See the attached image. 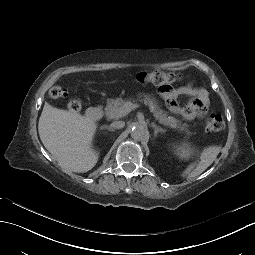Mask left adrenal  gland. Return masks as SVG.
<instances>
[{"label": "left adrenal gland", "instance_id": "a2214340", "mask_svg": "<svg viewBox=\"0 0 255 255\" xmlns=\"http://www.w3.org/2000/svg\"><path fill=\"white\" fill-rule=\"evenodd\" d=\"M151 127L154 128V137H157L158 133H164L165 130L159 128L155 123H151Z\"/></svg>", "mask_w": 255, "mask_h": 255}]
</instances>
